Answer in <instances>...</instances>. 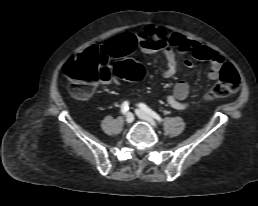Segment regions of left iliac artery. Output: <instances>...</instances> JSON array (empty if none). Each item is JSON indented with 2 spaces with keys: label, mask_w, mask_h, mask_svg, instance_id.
I'll list each match as a JSON object with an SVG mask.
<instances>
[{
  "label": "left iliac artery",
  "mask_w": 258,
  "mask_h": 206,
  "mask_svg": "<svg viewBox=\"0 0 258 206\" xmlns=\"http://www.w3.org/2000/svg\"><path fill=\"white\" fill-rule=\"evenodd\" d=\"M139 107L143 111H145L147 114H149L151 117L156 119L157 121L162 122V118L156 112H154L152 109H150L147 105H145L144 103H140Z\"/></svg>",
  "instance_id": "left-iliac-artery-1"
}]
</instances>
